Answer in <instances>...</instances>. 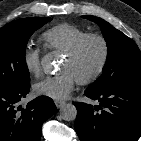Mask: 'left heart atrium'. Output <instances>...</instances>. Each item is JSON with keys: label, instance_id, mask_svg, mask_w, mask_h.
<instances>
[{"label": "left heart atrium", "instance_id": "39dd6f15", "mask_svg": "<svg viewBox=\"0 0 141 141\" xmlns=\"http://www.w3.org/2000/svg\"><path fill=\"white\" fill-rule=\"evenodd\" d=\"M77 79L68 71L57 76H46L36 82L33 90L37 95L46 96L54 100L67 98L74 89Z\"/></svg>", "mask_w": 141, "mask_h": 141}]
</instances>
